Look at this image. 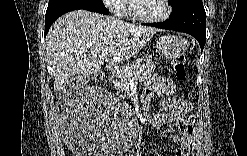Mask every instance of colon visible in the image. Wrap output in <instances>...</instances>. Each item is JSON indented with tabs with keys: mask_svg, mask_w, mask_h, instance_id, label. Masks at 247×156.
Instances as JSON below:
<instances>
[{
	"mask_svg": "<svg viewBox=\"0 0 247 156\" xmlns=\"http://www.w3.org/2000/svg\"><path fill=\"white\" fill-rule=\"evenodd\" d=\"M185 65L186 60L184 55L175 57L171 62V71L179 80H184L186 77ZM162 103H170V98H161V101H157V106H162Z\"/></svg>",
	"mask_w": 247,
	"mask_h": 156,
	"instance_id": "1",
	"label": "colon"
}]
</instances>
